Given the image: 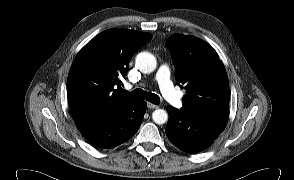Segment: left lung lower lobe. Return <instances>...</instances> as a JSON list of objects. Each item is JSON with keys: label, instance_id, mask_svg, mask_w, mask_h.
I'll list each match as a JSON object with an SVG mask.
<instances>
[{"label": "left lung lower lobe", "instance_id": "0a47b994", "mask_svg": "<svg viewBox=\"0 0 294 180\" xmlns=\"http://www.w3.org/2000/svg\"><path fill=\"white\" fill-rule=\"evenodd\" d=\"M167 111V137L176 147L191 154L209 147L228 121V117L189 115L172 106H167Z\"/></svg>", "mask_w": 294, "mask_h": 180}]
</instances>
